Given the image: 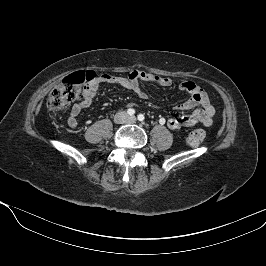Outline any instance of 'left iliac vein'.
Returning a JSON list of instances; mask_svg holds the SVG:
<instances>
[{
	"mask_svg": "<svg viewBox=\"0 0 266 266\" xmlns=\"http://www.w3.org/2000/svg\"><path fill=\"white\" fill-rule=\"evenodd\" d=\"M128 120L130 122L134 123L136 121V118L134 116H132V117H129Z\"/></svg>",
	"mask_w": 266,
	"mask_h": 266,
	"instance_id": "left-iliac-vein-1",
	"label": "left iliac vein"
}]
</instances>
